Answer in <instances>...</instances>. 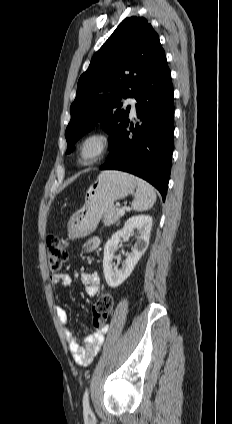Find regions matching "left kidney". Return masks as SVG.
<instances>
[{"instance_id":"left-kidney-1","label":"left kidney","mask_w":232,"mask_h":424,"mask_svg":"<svg viewBox=\"0 0 232 424\" xmlns=\"http://www.w3.org/2000/svg\"><path fill=\"white\" fill-rule=\"evenodd\" d=\"M152 228V217L149 215H137L129 218L122 229L114 233L104 247L103 273L107 284L112 287L121 285L132 273L134 267L146 251L149 245L150 232ZM139 236L137 242L132 248V252L127 256L121 269H118L114 263V253L117 250L120 239L127 237L134 231Z\"/></svg>"}]
</instances>
